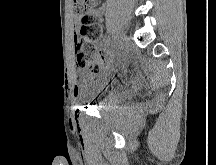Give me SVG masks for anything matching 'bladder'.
<instances>
[{
    "label": "bladder",
    "mask_w": 216,
    "mask_h": 165,
    "mask_svg": "<svg viewBox=\"0 0 216 165\" xmlns=\"http://www.w3.org/2000/svg\"><path fill=\"white\" fill-rule=\"evenodd\" d=\"M117 76H97L91 79L90 82L94 85V89L89 91L88 100H97L95 105L98 106V111H105V106H109L112 102V94H119Z\"/></svg>",
    "instance_id": "obj_1"
}]
</instances>
